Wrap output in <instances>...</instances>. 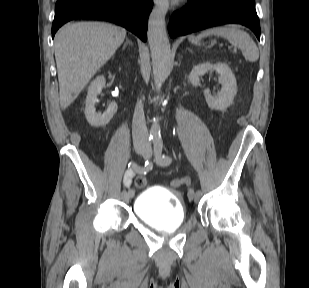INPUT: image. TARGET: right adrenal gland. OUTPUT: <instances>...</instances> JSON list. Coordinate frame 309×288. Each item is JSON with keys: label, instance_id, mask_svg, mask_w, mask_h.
<instances>
[{"label": "right adrenal gland", "instance_id": "right-adrenal-gland-1", "mask_svg": "<svg viewBox=\"0 0 309 288\" xmlns=\"http://www.w3.org/2000/svg\"><path fill=\"white\" fill-rule=\"evenodd\" d=\"M127 45H131V46L133 45L132 42L128 38H126V42L122 49L124 50L127 47Z\"/></svg>", "mask_w": 309, "mask_h": 288}]
</instances>
